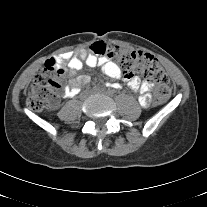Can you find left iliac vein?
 I'll list each match as a JSON object with an SVG mask.
<instances>
[{
  "mask_svg": "<svg viewBox=\"0 0 207 207\" xmlns=\"http://www.w3.org/2000/svg\"><path fill=\"white\" fill-rule=\"evenodd\" d=\"M94 92H104V91H103V90H96V91H94ZM108 94H109V95H112L113 93H112V92H110V93L108 92Z\"/></svg>",
  "mask_w": 207,
  "mask_h": 207,
  "instance_id": "left-iliac-vein-1",
  "label": "left iliac vein"
}]
</instances>
